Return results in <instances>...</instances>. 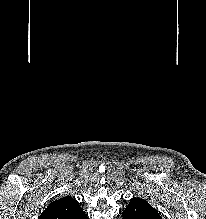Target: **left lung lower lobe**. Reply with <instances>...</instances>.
<instances>
[{"label":"left lung lower lobe","mask_w":206,"mask_h":219,"mask_svg":"<svg viewBox=\"0 0 206 219\" xmlns=\"http://www.w3.org/2000/svg\"><path fill=\"white\" fill-rule=\"evenodd\" d=\"M123 219H162L157 210L140 198H133L123 211Z\"/></svg>","instance_id":"obj_1"}]
</instances>
